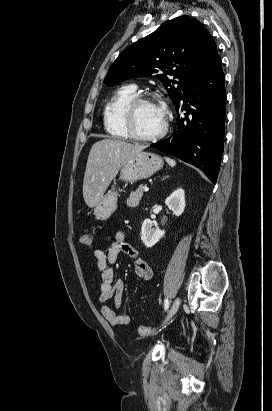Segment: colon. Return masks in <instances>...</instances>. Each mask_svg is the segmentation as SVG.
<instances>
[{
	"label": "colon",
	"mask_w": 272,
	"mask_h": 411,
	"mask_svg": "<svg viewBox=\"0 0 272 411\" xmlns=\"http://www.w3.org/2000/svg\"><path fill=\"white\" fill-rule=\"evenodd\" d=\"M80 243L83 246H89L92 244V238L90 235L85 234L82 235L80 238ZM138 333L143 336V337H148L151 336L155 333V328L154 327H149V326H145V325H140L138 327Z\"/></svg>",
	"instance_id": "obj_1"
}]
</instances>
